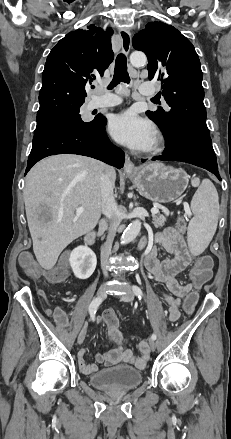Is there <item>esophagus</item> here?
<instances>
[{
  "label": "esophagus",
  "instance_id": "34e87169",
  "mask_svg": "<svg viewBox=\"0 0 231 439\" xmlns=\"http://www.w3.org/2000/svg\"><path fill=\"white\" fill-rule=\"evenodd\" d=\"M119 36L122 43V52L125 55H128L131 48V33L127 29H120ZM124 171L127 173L136 171V167L134 166L133 162L130 160V157L127 154L125 156Z\"/></svg>",
  "mask_w": 231,
  "mask_h": 439
}]
</instances>
